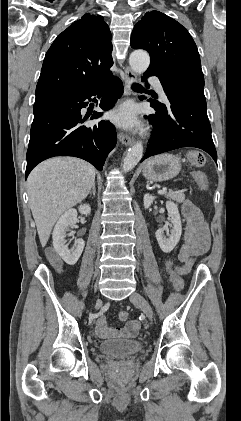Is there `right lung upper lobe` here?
Listing matches in <instances>:
<instances>
[{
	"label": "right lung upper lobe",
	"mask_w": 241,
	"mask_h": 421,
	"mask_svg": "<svg viewBox=\"0 0 241 421\" xmlns=\"http://www.w3.org/2000/svg\"><path fill=\"white\" fill-rule=\"evenodd\" d=\"M111 33L103 17L85 14L64 30L47 51L36 100L102 81L113 65Z\"/></svg>",
	"instance_id": "cb5924a9"
}]
</instances>
